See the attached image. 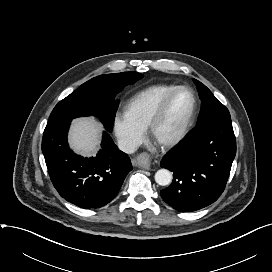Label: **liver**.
I'll list each match as a JSON object with an SVG mask.
<instances>
[{"mask_svg": "<svg viewBox=\"0 0 272 272\" xmlns=\"http://www.w3.org/2000/svg\"><path fill=\"white\" fill-rule=\"evenodd\" d=\"M100 130L94 118L75 119L69 134L71 148L83 156L94 155L100 142Z\"/></svg>", "mask_w": 272, "mask_h": 272, "instance_id": "6515ba94", "label": "liver"}]
</instances>
